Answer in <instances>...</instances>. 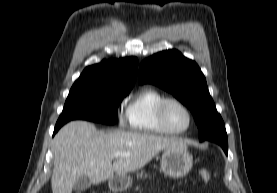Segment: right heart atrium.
Returning <instances> with one entry per match:
<instances>
[{
  "label": "right heart atrium",
  "instance_id": "1",
  "mask_svg": "<svg viewBox=\"0 0 277 193\" xmlns=\"http://www.w3.org/2000/svg\"><path fill=\"white\" fill-rule=\"evenodd\" d=\"M119 123H120V125L125 124V117L122 114L119 115Z\"/></svg>",
  "mask_w": 277,
  "mask_h": 193
}]
</instances>
